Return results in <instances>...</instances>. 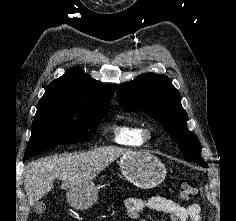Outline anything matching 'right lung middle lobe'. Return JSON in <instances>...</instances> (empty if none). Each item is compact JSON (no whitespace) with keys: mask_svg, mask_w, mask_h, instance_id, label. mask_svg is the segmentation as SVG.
Wrapping results in <instances>:
<instances>
[{"mask_svg":"<svg viewBox=\"0 0 236 221\" xmlns=\"http://www.w3.org/2000/svg\"><path fill=\"white\" fill-rule=\"evenodd\" d=\"M109 111V104H38L24 159L56 144L87 142Z\"/></svg>","mask_w":236,"mask_h":221,"instance_id":"obj_1","label":"right lung middle lobe"}]
</instances>
